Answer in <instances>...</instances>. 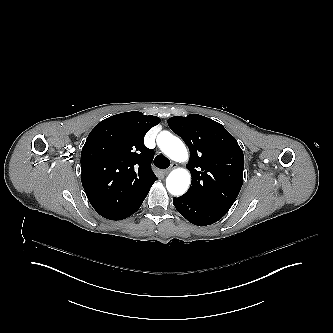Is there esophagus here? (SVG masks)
Masks as SVG:
<instances>
[{
    "label": "esophagus",
    "mask_w": 333,
    "mask_h": 333,
    "mask_svg": "<svg viewBox=\"0 0 333 333\" xmlns=\"http://www.w3.org/2000/svg\"><path fill=\"white\" fill-rule=\"evenodd\" d=\"M176 167H178V164L172 163L171 166L169 168H167L163 173L168 174L171 170L175 169Z\"/></svg>",
    "instance_id": "esophagus-1"
}]
</instances>
